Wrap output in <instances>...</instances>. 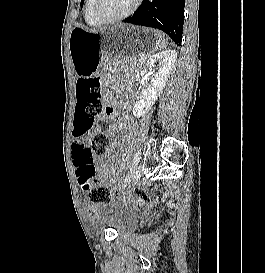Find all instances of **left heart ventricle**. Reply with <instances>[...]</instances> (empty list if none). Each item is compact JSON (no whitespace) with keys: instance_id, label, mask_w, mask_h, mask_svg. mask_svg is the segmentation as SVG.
I'll return each instance as SVG.
<instances>
[{"instance_id":"b2bd125f","label":"left heart ventricle","mask_w":265,"mask_h":273,"mask_svg":"<svg viewBox=\"0 0 265 273\" xmlns=\"http://www.w3.org/2000/svg\"><path fill=\"white\" fill-rule=\"evenodd\" d=\"M135 0H100L99 8L105 16H117L131 8Z\"/></svg>"}]
</instances>
